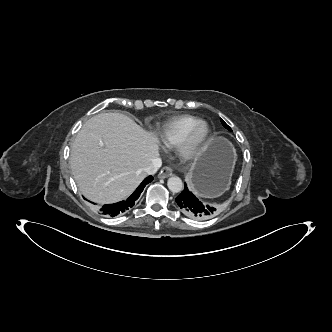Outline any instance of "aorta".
Wrapping results in <instances>:
<instances>
[{
	"label": "aorta",
	"mask_w": 332,
	"mask_h": 332,
	"mask_svg": "<svg viewBox=\"0 0 332 332\" xmlns=\"http://www.w3.org/2000/svg\"><path fill=\"white\" fill-rule=\"evenodd\" d=\"M167 186L170 191H172L174 193H178V192L182 191V189H183V182L179 177L172 176L168 179Z\"/></svg>",
	"instance_id": "1"
}]
</instances>
